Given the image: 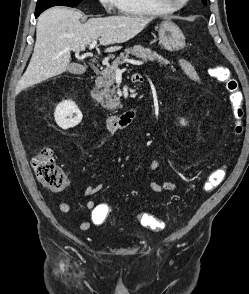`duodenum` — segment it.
Wrapping results in <instances>:
<instances>
[{
	"instance_id": "obj_1",
	"label": "duodenum",
	"mask_w": 249,
	"mask_h": 294,
	"mask_svg": "<svg viewBox=\"0 0 249 294\" xmlns=\"http://www.w3.org/2000/svg\"><path fill=\"white\" fill-rule=\"evenodd\" d=\"M133 81L135 83H142L143 76L141 74H134ZM89 99L97 103L94 95L89 93ZM140 114L139 109H131L123 113L122 115H110L106 118V127L109 131H120L129 126Z\"/></svg>"
}]
</instances>
